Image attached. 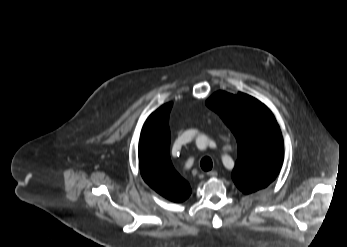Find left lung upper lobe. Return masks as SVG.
I'll list each match as a JSON object with an SVG mask.
<instances>
[{
    "mask_svg": "<svg viewBox=\"0 0 347 247\" xmlns=\"http://www.w3.org/2000/svg\"><path fill=\"white\" fill-rule=\"evenodd\" d=\"M206 105L233 132L238 156L232 179L245 194L267 187L278 175L284 158L283 138L272 112L244 93H214Z\"/></svg>",
    "mask_w": 347,
    "mask_h": 247,
    "instance_id": "1",
    "label": "left lung upper lobe"
}]
</instances>
